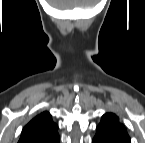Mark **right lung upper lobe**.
Returning <instances> with one entry per match:
<instances>
[{
  "mask_svg": "<svg viewBox=\"0 0 145 143\" xmlns=\"http://www.w3.org/2000/svg\"><path fill=\"white\" fill-rule=\"evenodd\" d=\"M58 126L48 112L32 119L22 130L19 143H58Z\"/></svg>",
  "mask_w": 145,
  "mask_h": 143,
  "instance_id": "right-lung-upper-lobe-1",
  "label": "right lung upper lobe"
}]
</instances>
